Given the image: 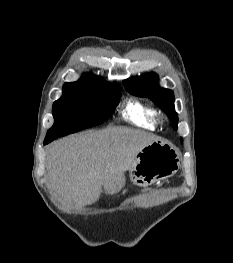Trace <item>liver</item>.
<instances>
[{"instance_id":"obj_1","label":"liver","mask_w":233,"mask_h":263,"mask_svg":"<svg viewBox=\"0 0 233 263\" xmlns=\"http://www.w3.org/2000/svg\"><path fill=\"white\" fill-rule=\"evenodd\" d=\"M158 139L142 130L118 127L60 139L47 148V178L64 203L91 205L102 186L111 190L121 184L138 152Z\"/></svg>"}]
</instances>
